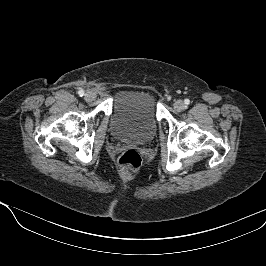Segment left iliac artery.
Returning a JSON list of instances; mask_svg holds the SVG:
<instances>
[{"label":"left iliac artery","mask_w":266,"mask_h":266,"mask_svg":"<svg viewBox=\"0 0 266 266\" xmlns=\"http://www.w3.org/2000/svg\"><path fill=\"white\" fill-rule=\"evenodd\" d=\"M184 103H185L186 105H189V104H190V100H189V99H185V100H184Z\"/></svg>","instance_id":"left-iliac-artery-1"}]
</instances>
